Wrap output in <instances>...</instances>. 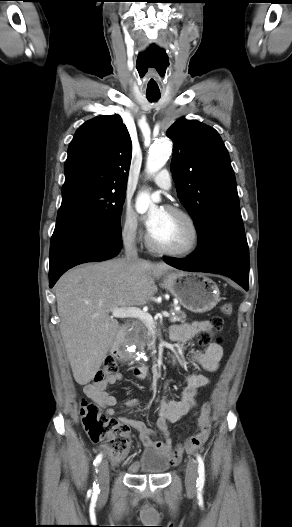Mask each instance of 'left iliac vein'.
Instances as JSON below:
<instances>
[{"label":"left iliac vein","instance_id":"4c4485c4","mask_svg":"<svg viewBox=\"0 0 292 527\" xmlns=\"http://www.w3.org/2000/svg\"><path fill=\"white\" fill-rule=\"evenodd\" d=\"M197 465L196 462L189 459L187 462L185 485L189 492H194L197 479Z\"/></svg>","mask_w":292,"mask_h":527}]
</instances>
